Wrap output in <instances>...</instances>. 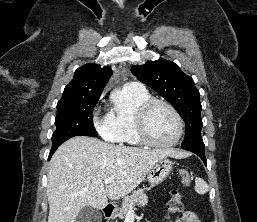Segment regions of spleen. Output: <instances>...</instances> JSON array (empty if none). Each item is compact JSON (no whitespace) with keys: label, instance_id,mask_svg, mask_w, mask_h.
Returning <instances> with one entry per match:
<instances>
[{"label":"spleen","instance_id":"spleen-1","mask_svg":"<svg viewBox=\"0 0 257 222\" xmlns=\"http://www.w3.org/2000/svg\"><path fill=\"white\" fill-rule=\"evenodd\" d=\"M195 190L198 194L203 195L208 192L209 187L207 183L200 177L195 179Z\"/></svg>","mask_w":257,"mask_h":222}]
</instances>
